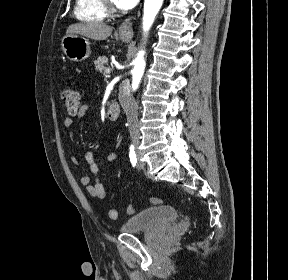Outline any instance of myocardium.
Segmentation results:
<instances>
[{"instance_id": "obj_1", "label": "myocardium", "mask_w": 288, "mask_h": 280, "mask_svg": "<svg viewBox=\"0 0 288 280\" xmlns=\"http://www.w3.org/2000/svg\"><path fill=\"white\" fill-rule=\"evenodd\" d=\"M103 2L108 12H114L113 0H103Z\"/></svg>"}]
</instances>
